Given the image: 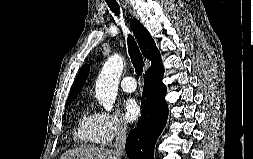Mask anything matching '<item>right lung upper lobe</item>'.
Segmentation results:
<instances>
[{
    "label": "right lung upper lobe",
    "instance_id": "right-lung-upper-lobe-1",
    "mask_svg": "<svg viewBox=\"0 0 253 159\" xmlns=\"http://www.w3.org/2000/svg\"><path fill=\"white\" fill-rule=\"evenodd\" d=\"M130 27L133 30L143 55L151 60V66L147 71L163 70L164 67L160 53L147 29L136 19H132L130 21ZM89 71L90 67L87 64L80 69L75 81L72 84L67 101L75 99L78 96L89 75Z\"/></svg>",
    "mask_w": 253,
    "mask_h": 159
}]
</instances>
